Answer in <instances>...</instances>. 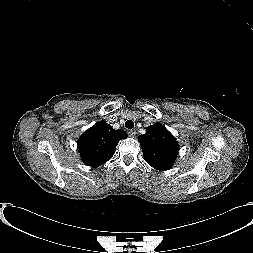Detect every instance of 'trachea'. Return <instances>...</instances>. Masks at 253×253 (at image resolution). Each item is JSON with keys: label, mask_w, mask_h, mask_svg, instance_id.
Here are the masks:
<instances>
[{"label": "trachea", "mask_w": 253, "mask_h": 253, "mask_svg": "<svg viewBox=\"0 0 253 253\" xmlns=\"http://www.w3.org/2000/svg\"><path fill=\"white\" fill-rule=\"evenodd\" d=\"M125 127L128 129H132L134 127V122L132 120H127L125 122Z\"/></svg>", "instance_id": "obj_1"}]
</instances>
